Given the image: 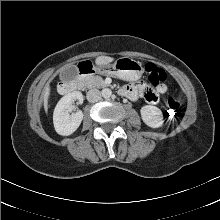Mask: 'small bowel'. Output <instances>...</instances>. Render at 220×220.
<instances>
[{
  "label": "small bowel",
  "instance_id": "1",
  "mask_svg": "<svg viewBox=\"0 0 220 220\" xmlns=\"http://www.w3.org/2000/svg\"><path fill=\"white\" fill-rule=\"evenodd\" d=\"M167 91L164 84H155L153 87H148L146 83L139 81L122 88L121 93L132 100L138 97H143L151 104H155L159 100V96Z\"/></svg>",
  "mask_w": 220,
  "mask_h": 220
}]
</instances>
